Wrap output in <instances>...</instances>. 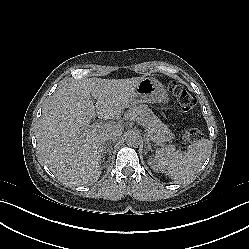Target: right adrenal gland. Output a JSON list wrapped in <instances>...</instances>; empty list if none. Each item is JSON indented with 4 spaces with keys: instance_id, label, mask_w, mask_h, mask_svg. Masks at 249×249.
<instances>
[{
    "instance_id": "right-adrenal-gland-1",
    "label": "right adrenal gland",
    "mask_w": 249,
    "mask_h": 249,
    "mask_svg": "<svg viewBox=\"0 0 249 249\" xmlns=\"http://www.w3.org/2000/svg\"><path fill=\"white\" fill-rule=\"evenodd\" d=\"M106 148H107V145H104L102 154H105L107 152Z\"/></svg>"
}]
</instances>
